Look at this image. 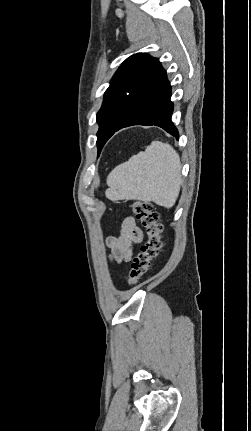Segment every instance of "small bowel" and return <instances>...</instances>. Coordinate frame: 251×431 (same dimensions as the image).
Returning <instances> with one entry per match:
<instances>
[{
  "label": "small bowel",
  "mask_w": 251,
  "mask_h": 431,
  "mask_svg": "<svg viewBox=\"0 0 251 431\" xmlns=\"http://www.w3.org/2000/svg\"><path fill=\"white\" fill-rule=\"evenodd\" d=\"M143 240V232L136 225L135 219L126 217L121 223L117 236H110L106 243L110 250L109 258L115 263L129 262L135 245Z\"/></svg>",
  "instance_id": "small-bowel-1"
}]
</instances>
